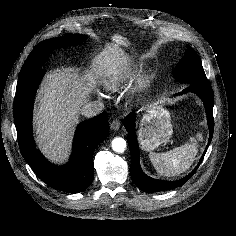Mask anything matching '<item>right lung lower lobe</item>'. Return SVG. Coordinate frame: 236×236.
Returning a JSON list of instances; mask_svg holds the SVG:
<instances>
[{"instance_id":"right-lung-lower-lobe-1","label":"right lung lower lobe","mask_w":236,"mask_h":236,"mask_svg":"<svg viewBox=\"0 0 236 236\" xmlns=\"http://www.w3.org/2000/svg\"><path fill=\"white\" fill-rule=\"evenodd\" d=\"M43 75L44 70L37 69L17 82L13 113L20 151L38 177L52 188L82 192L93 180L94 150L109 135L107 113L81 122L74 136L71 160L64 166L53 165L36 149L32 132L34 96Z\"/></svg>"}]
</instances>
